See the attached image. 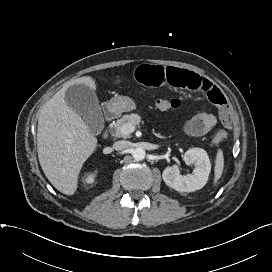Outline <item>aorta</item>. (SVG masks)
<instances>
[{
    "label": "aorta",
    "mask_w": 272,
    "mask_h": 272,
    "mask_svg": "<svg viewBox=\"0 0 272 272\" xmlns=\"http://www.w3.org/2000/svg\"><path fill=\"white\" fill-rule=\"evenodd\" d=\"M146 152L142 148H136L132 152V156L136 161H142L145 158Z\"/></svg>",
    "instance_id": "obj_1"
}]
</instances>
